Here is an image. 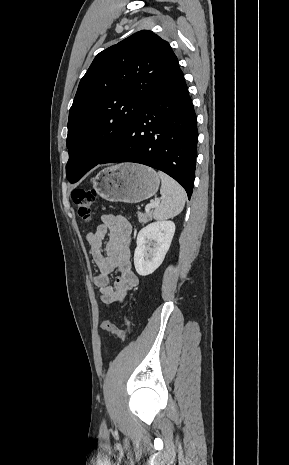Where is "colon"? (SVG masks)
Listing matches in <instances>:
<instances>
[{"mask_svg": "<svg viewBox=\"0 0 289 465\" xmlns=\"http://www.w3.org/2000/svg\"><path fill=\"white\" fill-rule=\"evenodd\" d=\"M97 194L94 189L77 188L72 191L71 198L77 209L78 215L81 219L89 221L93 214V205L96 200ZM124 328H119L109 321H103L100 329L104 332H109L121 340H124L131 330V322L127 316V310L123 311Z\"/></svg>", "mask_w": 289, "mask_h": 465, "instance_id": "5ec220e1", "label": "colon"}]
</instances>
